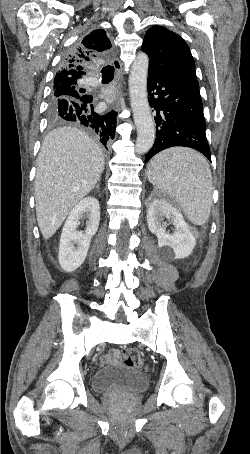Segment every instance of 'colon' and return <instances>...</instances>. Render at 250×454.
Here are the masks:
<instances>
[{
	"label": "colon",
	"mask_w": 250,
	"mask_h": 454,
	"mask_svg": "<svg viewBox=\"0 0 250 454\" xmlns=\"http://www.w3.org/2000/svg\"><path fill=\"white\" fill-rule=\"evenodd\" d=\"M122 360L126 366L140 368L143 364L142 354L133 348H126L122 352Z\"/></svg>",
	"instance_id": "obj_1"
}]
</instances>
